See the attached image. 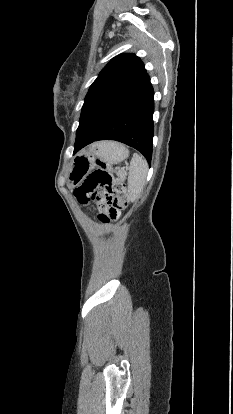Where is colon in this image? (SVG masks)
Listing matches in <instances>:
<instances>
[{
  "mask_svg": "<svg viewBox=\"0 0 233 414\" xmlns=\"http://www.w3.org/2000/svg\"><path fill=\"white\" fill-rule=\"evenodd\" d=\"M76 196L81 203L91 197L99 207V220L103 223L115 219L129 204L126 184L113 178L109 165L102 161L97 162V168L77 189Z\"/></svg>",
  "mask_w": 233,
  "mask_h": 414,
  "instance_id": "colon-1",
  "label": "colon"
}]
</instances>
